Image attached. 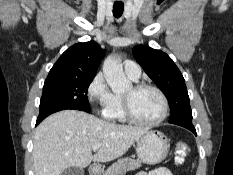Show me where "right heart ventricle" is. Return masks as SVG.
<instances>
[{"label":"right heart ventricle","mask_w":233,"mask_h":175,"mask_svg":"<svg viewBox=\"0 0 233 175\" xmlns=\"http://www.w3.org/2000/svg\"><path fill=\"white\" fill-rule=\"evenodd\" d=\"M103 116L105 119L111 121L125 122L127 120L122 108V96L113 94V100L103 110Z\"/></svg>","instance_id":"e07e8e85"}]
</instances>
